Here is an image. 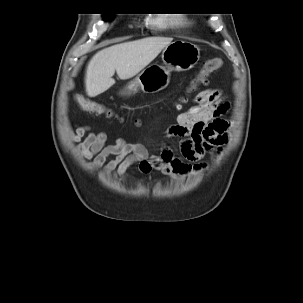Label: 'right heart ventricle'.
<instances>
[{"instance_id": "e07e8e85", "label": "right heart ventricle", "mask_w": 303, "mask_h": 303, "mask_svg": "<svg viewBox=\"0 0 303 303\" xmlns=\"http://www.w3.org/2000/svg\"><path fill=\"white\" fill-rule=\"evenodd\" d=\"M155 22L161 26L167 25V24H172V23H177L174 20H168V19H164V18H160V19H155Z\"/></svg>"}]
</instances>
